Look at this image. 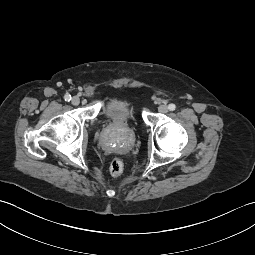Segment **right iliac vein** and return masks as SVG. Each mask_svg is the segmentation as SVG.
<instances>
[{"instance_id": "63e3f726", "label": "right iliac vein", "mask_w": 255, "mask_h": 255, "mask_svg": "<svg viewBox=\"0 0 255 255\" xmlns=\"http://www.w3.org/2000/svg\"><path fill=\"white\" fill-rule=\"evenodd\" d=\"M71 102H72V104L73 105H79V103H80V98L78 97V96H74L73 98H72V100H71Z\"/></svg>"}]
</instances>
